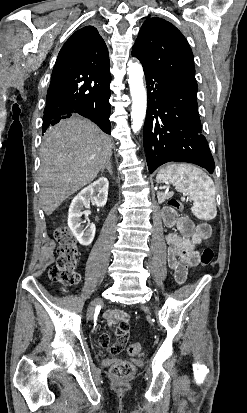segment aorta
I'll use <instances>...</instances> for the list:
<instances>
[{
    "mask_svg": "<svg viewBox=\"0 0 247 413\" xmlns=\"http://www.w3.org/2000/svg\"><path fill=\"white\" fill-rule=\"evenodd\" d=\"M127 74L129 76L128 83L132 97V131L136 133L144 123L147 109V95L143 84L144 72L142 65L139 62L130 61L128 63Z\"/></svg>",
    "mask_w": 247,
    "mask_h": 413,
    "instance_id": "1",
    "label": "aorta"
}]
</instances>
